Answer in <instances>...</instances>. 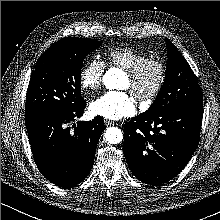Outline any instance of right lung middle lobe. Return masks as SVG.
Returning <instances> with one entry per match:
<instances>
[{"label":"right lung middle lobe","mask_w":220,"mask_h":220,"mask_svg":"<svg viewBox=\"0 0 220 220\" xmlns=\"http://www.w3.org/2000/svg\"><path fill=\"white\" fill-rule=\"evenodd\" d=\"M101 42L67 37L40 57L27 89L25 112L38 109L73 110L85 103L81 96V69L85 57Z\"/></svg>","instance_id":"1"}]
</instances>
